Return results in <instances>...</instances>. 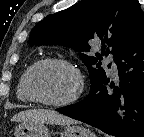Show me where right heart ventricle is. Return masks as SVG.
I'll list each match as a JSON object with an SVG mask.
<instances>
[{"label":"right heart ventricle","instance_id":"right-heart-ventricle-1","mask_svg":"<svg viewBox=\"0 0 144 137\" xmlns=\"http://www.w3.org/2000/svg\"><path fill=\"white\" fill-rule=\"evenodd\" d=\"M28 69H26L24 71V73L21 75L18 85H17V91H16V95L19 101L21 102H30L31 99L28 97L26 91H25V78H26V74H27Z\"/></svg>","mask_w":144,"mask_h":137}]
</instances>
